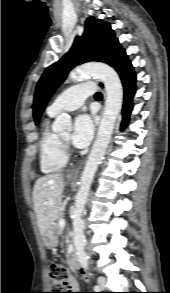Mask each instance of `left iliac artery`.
<instances>
[{
  "label": "left iliac artery",
  "instance_id": "1",
  "mask_svg": "<svg viewBox=\"0 0 170 293\" xmlns=\"http://www.w3.org/2000/svg\"><path fill=\"white\" fill-rule=\"evenodd\" d=\"M94 290H95V291H99V290H100L99 286L96 285V286L94 287Z\"/></svg>",
  "mask_w": 170,
  "mask_h": 293
}]
</instances>
